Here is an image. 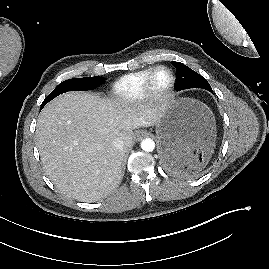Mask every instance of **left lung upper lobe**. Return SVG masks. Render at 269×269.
Returning <instances> with one entry per match:
<instances>
[{
  "label": "left lung upper lobe",
  "instance_id": "1",
  "mask_svg": "<svg viewBox=\"0 0 269 269\" xmlns=\"http://www.w3.org/2000/svg\"><path fill=\"white\" fill-rule=\"evenodd\" d=\"M172 64L176 67V90H184L188 88H203L208 91H212L211 86L207 80L196 73L183 63L172 61Z\"/></svg>",
  "mask_w": 269,
  "mask_h": 269
}]
</instances>
